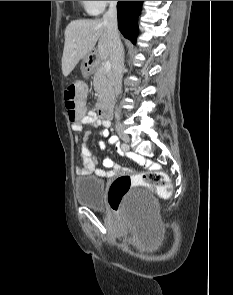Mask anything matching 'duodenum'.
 I'll use <instances>...</instances> for the list:
<instances>
[{
  "instance_id": "1",
  "label": "duodenum",
  "mask_w": 233,
  "mask_h": 295,
  "mask_svg": "<svg viewBox=\"0 0 233 295\" xmlns=\"http://www.w3.org/2000/svg\"><path fill=\"white\" fill-rule=\"evenodd\" d=\"M98 113L105 117L110 118L111 116V102L109 99H104L97 104Z\"/></svg>"
}]
</instances>
